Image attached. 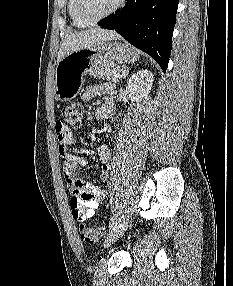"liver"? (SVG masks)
Wrapping results in <instances>:
<instances>
[{
    "label": "liver",
    "instance_id": "6515ba94",
    "mask_svg": "<svg viewBox=\"0 0 233 286\" xmlns=\"http://www.w3.org/2000/svg\"><path fill=\"white\" fill-rule=\"evenodd\" d=\"M119 38L120 36L115 31L99 27L67 34L59 48L57 63L73 51L95 47L105 41Z\"/></svg>",
    "mask_w": 233,
    "mask_h": 286
}]
</instances>
